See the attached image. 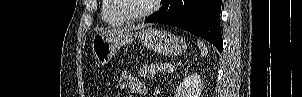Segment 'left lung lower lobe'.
I'll use <instances>...</instances> for the list:
<instances>
[{
    "label": "left lung lower lobe",
    "mask_w": 302,
    "mask_h": 97,
    "mask_svg": "<svg viewBox=\"0 0 302 97\" xmlns=\"http://www.w3.org/2000/svg\"><path fill=\"white\" fill-rule=\"evenodd\" d=\"M221 0H164L145 22L178 27L202 37L222 52L219 16Z\"/></svg>",
    "instance_id": "obj_1"
}]
</instances>
